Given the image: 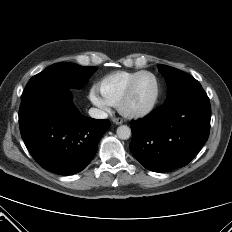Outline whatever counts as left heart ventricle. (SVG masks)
Wrapping results in <instances>:
<instances>
[{"label": "left heart ventricle", "mask_w": 232, "mask_h": 232, "mask_svg": "<svg viewBox=\"0 0 232 232\" xmlns=\"http://www.w3.org/2000/svg\"><path fill=\"white\" fill-rule=\"evenodd\" d=\"M156 93V83L149 75L137 81L131 99L127 104L129 110H139L151 103Z\"/></svg>", "instance_id": "obj_1"}]
</instances>
